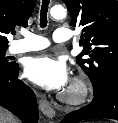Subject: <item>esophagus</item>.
<instances>
[{"mask_svg": "<svg viewBox=\"0 0 118 123\" xmlns=\"http://www.w3.org/2000/svg\"><path fill=\"white\" fill-rule=\"evenodd\" d=\"M39 107L42 113L48 118H53L55 116V111L51 104L47 101L44 95H39Z\"/></svg>", "mask_w": 118, "mask_h": 123, "instance_id": "34e87169", "label": "esophagus"}]
</instances>
